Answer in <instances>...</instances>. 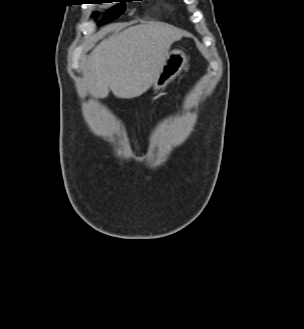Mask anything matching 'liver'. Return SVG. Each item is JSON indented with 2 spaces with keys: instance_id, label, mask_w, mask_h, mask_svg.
Wrapping results in <instances>:
<instances>
[{
  "instance_id": "6515ba94",
  "label": "liver",
  "mask_w": 304,
  "mask_h": 329,
  "mask_svg": "<svg viewBox=\"0 0 304 329\" xmlns=\"http://www.w3.org/2000/svg\"><path fill=\"white\" fill-rule=\"evenodd\" d=\"M183 31L163 22H149L114 33L97 45L87 63L86 85L93 97L112 93L132 99L155 82L171 45Z\"/></svg>"
}]
</instances>
